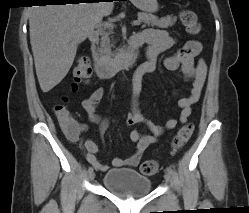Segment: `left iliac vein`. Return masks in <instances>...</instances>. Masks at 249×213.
Returning <instances> with one entry per match:
<instances>
[{
  "label": "left iliac vein",
  "mask_w": 249,
  "mask_h": 213,
  "mask_svg": "<svg viewBox=\"0 0 249 213\" xmlns=\"http://www.w3.org/2000/svg\"><path fill=\"white\" fill-rule=\"evenodd\" d=\"M164 179H165V182L167 183V184H170L171 183V174L170 173H165L164 174Z\"/></svg>",
  "instance_id": "1"
}]
</instances>
